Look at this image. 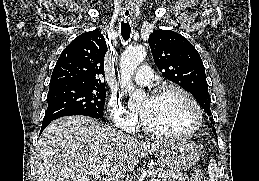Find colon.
I'll use <instances>...</instances> for the list:
<instances>
[{
  "instance_id": "obj_1",
  "label": "colon",
  "mask_w": 259,
  "mask_h": 181,
  "mask_svg": "<svg viewBox=\"0 0 259 181\" xmlns=\"http://www.w3.org/2000/svg\"><path fill=\"white\" fill-rule=\"evenodd\" d=\"M191 181H205V177L201 171H195L192 175Z\"/></svg>"
}]
</instances>
